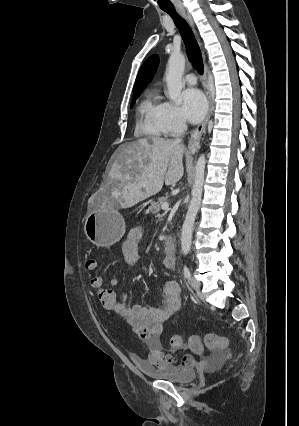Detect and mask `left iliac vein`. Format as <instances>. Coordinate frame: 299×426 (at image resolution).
Returning a JSON list of instances; mask_svg holds the SVG:
<instances>
[{"instance_id":"obj_1","label":"left iliac vein","mask_w":299,"mask_h":426,"mask_svg":"<svg viewBox=\"0 0 299 426\" xmlns=\"http://www.w3.org/2000/svg\"><path fill=\"white\" fill-rule=\"evenodd\" d=\"M190 284H191V287L194 289V290H199L200 289V287H201V283H200V281H198L197 279H195V278H190Z\"/></svg>"}]
</instances>
